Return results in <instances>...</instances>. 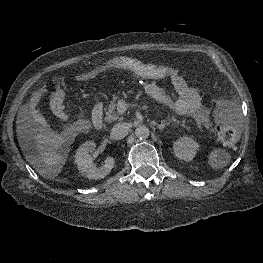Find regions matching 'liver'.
I'll list each match as a JSON object with an SVG mask.
<instances>
[{
	"label": "liver",
	"instance_id": "1",
	"mask_svg": "<svg viewBox=\"0 0 263 263\" xmlns=\"http://www.w3.org/2000/svg\"><path fill=\"white\" fill-rule=\"evenodd\" d=\"M21 117V113H19L16 122L19 140H21L24 133L30 131L23 126ZM74 135L75 131L73 128H69L61 134L53 131L45 132L43 129L36 133V146L41 156L40 163H42V165L39 163L36 169L41 176L46 178L58 176L66 162V156L61 154L60 148L69 142Z\"/></svg>",
	"mask_w": 263,
	"mask_h": 263
}]
</instances>
